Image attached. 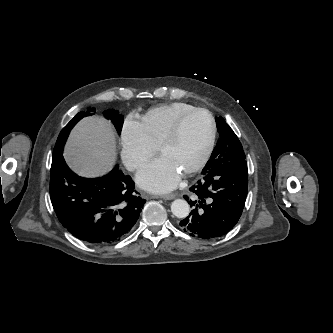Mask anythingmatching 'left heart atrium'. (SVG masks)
Returning a JSON list of instances; mask_svg holds the SVG:
<instances>
[{
  "mask_svg": "<svg viewBox=\"0 0 333 333\" xmlns=\"http://www.w3.org/2000/svg\"><path fill=\"white\" fill-rule=\"evenodd\" d=\"M180 178L181 172L164 156L147 164L137 174L138 184L155 193L173 190L178 185Z\"/></svg>",
  "mask_w": 333,
  "mask_h": 333,
  "instance_id": "left-heart-atrium-1",
  "label": "left heart atrium"
}]
</instances>
